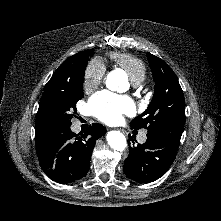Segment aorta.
Segmentation results:
<instances>
[{"mask_svg":"<svg viewBox=\"0 0 221 221\" xmlns=\"http://www.w3.org/2000/svg\"><path fill=\"white\" fill-rule=\"evenodd\" d=\"M124 81V80H123ZM122 84L116 72H111L107 76L106 85L111 91H116ZM108 144L117 151H123L127 146L125 136L119 131H110L106 136Z\"/></svg>","mask_w":221,"mask_h":221,"instance_id":"aorta-1","label":"aorta"}]
</instances>
